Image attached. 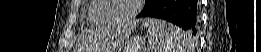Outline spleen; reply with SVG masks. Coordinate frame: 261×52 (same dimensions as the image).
<instances>
[{"mask_svg": "<svg viewBox=\"0 0 261 52\" xmlns=\"http://www.w3.org/2000/svg\"><path fill=\"white\" fill-rule=\"evenodd\" d=\"M151 52H194L192 38L181 29L159 19H144Z\"/></svg>", "mask_w": 261, "mask_h": 52, "instance_id": "obj_1", "label": "spleen"}]
</instances>
